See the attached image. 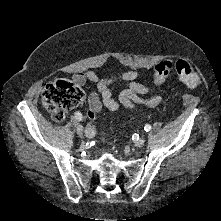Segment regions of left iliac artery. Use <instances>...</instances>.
I'll return each mask as SVG.
<instances>
[{
  "label": "left iliac artery",
  "instance_id": "44dca946",
  "mask_svg": "<svg viewBox=\"0 0 221 221\" xmlns=\"http://www.w3.org/2000/svg\"><path fill=\"white\" fill-rule=\"evenodd\" d=\"M144 130L146 132L150 131L151 130V126L149 124H146L145 127H144Z\"/></svg>",
  "mask_w": 221,
  "mask_h": 221
}]
</instances>
